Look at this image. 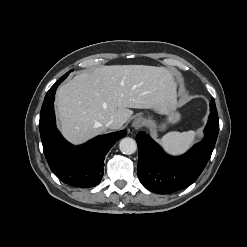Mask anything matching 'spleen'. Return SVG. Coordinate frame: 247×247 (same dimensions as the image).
I'll list each match as a JSON object with an SVG mask.
<instances>
[{
	"label": "spleen",
	"instance_id": "1",
	"mask_svg": "<svg viewBox=\"0 0 247 247\" xmlns=\"http://www.w3.org/2000/svg\"><path fill=\"white\" fill-rule=\"evenodd\" d=\"M195 131L177 132L172 131L164 135L160 142L164 149L174 155L184 153L190 148L195 138Z\"/></svg>",
	"mask_w": 247,
	"mask_h": 247
}]
</instances>
